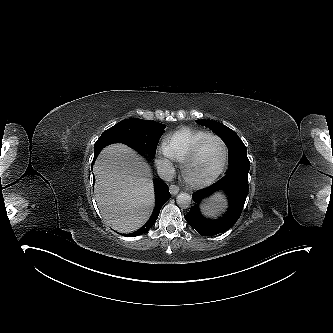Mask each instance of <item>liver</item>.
<instances>
[{
  "label": "liver",
  "instance_id": "1",
  "mask_svg": "<svg viewBox=\"0 0 333 333\" xmlns=\"http://www.w3.org/2000/svg\"><path fill=\"white\" fill-rule=\"evenodd\" d=\"M94 174L95 199L107 224L129 233L148 220L154 206L151 169L135 151L123 144L106 147Z\"/></svg>",
  "mask_w": 333,
  "mask_h": 333
}]
</instances>
